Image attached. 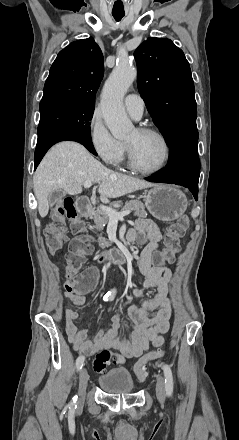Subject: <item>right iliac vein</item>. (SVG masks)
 I'll return each instance as SVG.
<instances>
[{
    "mask_svg": "<svg viewBox=\"0 0 239 440\" xmlns=\"http://www.w3.org/2000/svg\"><path fill=\"white\" fill-rule=\"evenodd\" d=\"M88 378L89 377L86 369L85 368L81 369L79 373V390H78L80 400H82L85 396Z\"/></svg>",
    "mask_w": 239,
    "mask_h": 440,
    "instance_id": "obj_1",
    "label": "right iliac vein"
}]
</instances>
